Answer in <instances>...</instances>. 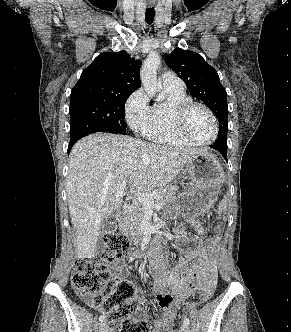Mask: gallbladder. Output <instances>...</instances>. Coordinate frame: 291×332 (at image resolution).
<instances>
[{"label": "gallbladder", "instance_id": "1", "mask_svg": "<svg viewBox=\"0 0 291 332\" xmlns=\"http://www.w3.org/2000/svg\"><path fill=\"white\" fill-rule=\"evenodd\" d=\"M117 229V222H116V213H111L104 224L103 233L104 234H113Z\"/></svg>", "mask_w": 291, "mask_h": 332}]
</instances>
